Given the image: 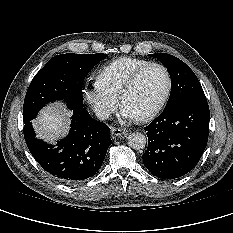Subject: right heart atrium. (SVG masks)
<instances>
[{
    "label": "right heart atrium",
    "instance_id": "d8ad5b80",
    "mask_svg": "<svg viewBox=\"0 0 233 233\" xmlns=\"http://www.w3.org/2000/svg\"><path fill=\"white\" fill-rule=\"evenodd\" d=\"M83 97L100 119H107L117 108L118 98L95 79L83 88Z\"/></svg>",
    "mask_w": 233,
    "mask_h": 233
}]
</instances>
